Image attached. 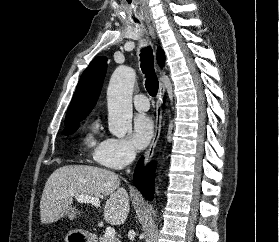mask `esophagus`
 Returning a JSON list of instances; mask_svg holds the SVG:
<instances>
[{
	"label": "esophagus",
	"instance_id": "34e87169",
	"mask_svg": "<svg viewBox=\"0 0 279 242\" xmlns=\"http://www.w3.org/2000/svg\"><path fill=\"white\" fill-rule=\"evenodd\" d=\"M148 29H149L151 36L154 38L155 37L154 28L151 26L150 23H148ZM159 76H160V86H159V93H158V99H157L155 132H154L152 141L149 145V148L147 149L146 154H145V164H147L151 160V158L154 154V149H155L157 141L159 139L161 127H162V104H163V97H164V93H165V86H164L163 80L161 78L160 70H159Z\"/></svg>",
	"mask_w": 279,
	"mask_h": 242
}]
</instances>
